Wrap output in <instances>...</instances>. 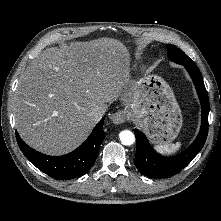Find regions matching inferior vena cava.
<instances>
[{"label":"inferior vena cava","instance_id":"inferior-vena-cava-1","mask_svg":"<svg viewBox=\"0 0 221 221\" xmlns=\"http://www.w3.org/2000/svg\"><path fill=\"white\" fill-rule=\"evenodd\" d=\"M106 112V107L103 106V107H98L96 109H94L91 113H90V116L95 120V121H99L101 120V118L103 117V115L105 114Z\"/></svg>","mask_w":221,"mask_h":221}]
</instances>
